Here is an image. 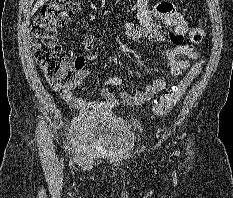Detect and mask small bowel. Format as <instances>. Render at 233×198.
<instances>
[{
  "instance_id": "small-bowel-1",
  "label": "small bowel",
  "mask_w": 233,
  "mask_h": 198,
  "mask_svg": "<svg viewBox=\"0 0 233 198\" xmlns=\"http://www.w3.org/2000/svg\"><path fill=\"white\" fill-rule=\"evenodd\" d=\"M149 0H137L138 11L137 18L139 25L135 26L132 23H123L120 25L127 37L132 40L148 39L152 42H165L169 40L174 44L173 48L166 49L163 55L166 59L167 69L172 76H178L188 67V59H196L198 54L193 51L192 47L185 43L188 24L182 14L174 9L172 3L164 1L156 5L152 11L148 6ZM160 23L172 28L171 31L165 32L154 26V22ZM95 37L87 35L84 38V48L87 52L86 56H80L75 59V67L78 73L77 85L82 84L88 77L90 71L85 67V61H95L98 59L97 53L93 51ZM81 59L82 63L77 64L76 60ZM105 88L102 91L104 101H88L82 97H77L71 92L62 94L65 101L72 107L86 111L97 110L100 112H109L117 106L141 105L151 100L156 94L163 91L166 87V81L163 75L152 80L148 85L138 88L134 94H129L126 90H122L120 95L111 92L108 87H123V80L120 77L114 76L104 82Z\"/></svg>"
}]
</instances>
